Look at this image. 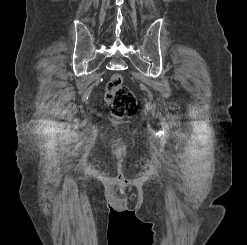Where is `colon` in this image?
Here are the masks:
<instances>
[{
  "label": "colon",
  "mask_w": 247,
  "mask_h": 245,
  "mask_svg": "<svg viewBox=\"0 0 247 245\" xmlns=\"http://www.w3.org/2000/svg\"><path fill=\"white\" fill-rule=\"evenodd\" d=\"M105 102L111 113L119 118L133 115L137 107L135 94L123 84V77L119 73L112 74L107 81Z\"/></svg>",
  "instance_id": "1"
}]
</instances>
